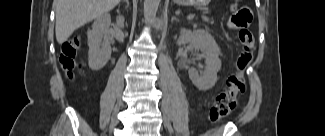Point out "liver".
<instances>
[{"label":"liver","instance_id":"6515ba94","mask_svg":"<svg viewBox=\"0 0 325 136\" xmlns=\"http://www.w3.org/2000/svg\"><path fill=\"white\" fill-rule=\"evenodd\" d=\"M120 1L54 0L57 42L64 43L76 29L112 10Z\"/></svg>","mask_w":325,"mask_h":136}]
</instances>
